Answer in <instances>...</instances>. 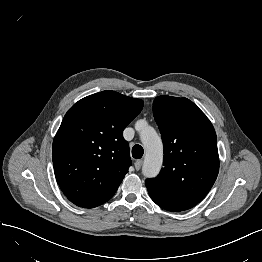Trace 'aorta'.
<instances>
[{
	"label": "aorta",
	"mask_w": 262,
	"mask_h": 262,
	"mask_svg": "<svg viewBox=\"0 0 262 262\" xmlns=\"http://www.w3.org/2000/svg\"><path fill=\"white\" fill-rule=\"evenodd\" d=\"M136 130L140 133L145 148V158L142 167L143 175L153 178L158 175L163 162V144L155 129L140 120L136 123Z\"/></svg>",
	"instance_id": "762f6f07"
}]
</instances>
